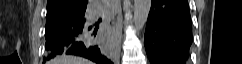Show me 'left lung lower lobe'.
Instances as JSON below:
<instances>
[{
    "instance_id": "1",
    "label": "left lung lower lobe",
    "mask_w": 242,
    "mask_h": 64,
    "mask_svg": "<svg viewBox=\"0 0 242 64\" xmlns=\"http://www.w3.org/2000/svg\"><path fill=\"white\" fill-rule=\"evenodd\" d=\"M144 44L151 64H185L192 44L188 0H152Z\"/></svg>"
}]
</instances>
